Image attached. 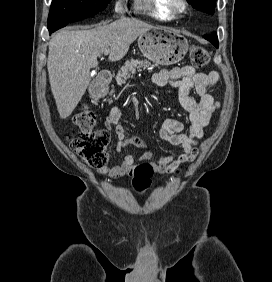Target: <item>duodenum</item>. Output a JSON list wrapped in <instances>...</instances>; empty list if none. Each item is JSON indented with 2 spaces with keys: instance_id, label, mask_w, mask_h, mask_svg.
I'll use <instances>...</instances> for the list:
<instances>
[{
  "instance_id": "obj_1",
  "label": "duodenum",
  "mask_w": 272,
  "mask_h": 282,
  "mask_svg": "<svg viewBox=\"0 0 272 282\" xmlns=\"http://www.w3.org/2000/svg\"><path fill=\"white\" fill-rule=\"evenodd\" d=\"M111 81V74L109 72H103L95 82L89 87V93L95 100H101L105 96L108 84Z\"/></svg>"
}]
</instances>
